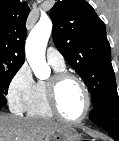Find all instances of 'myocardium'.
I'll return each mask as SVG.
<instances>
[{
  "instance_id": "f54148a6",
  "label": "myocardium",
  "mask_w": 119,
  "mask_h": 141,
  "mask_svg": "<svg viewBox=\"0 0 119 141\" xmlns=\"http://www.w3.org/2000/svg\"><path fill=\"white\" fill-rule=\"evenodd\" d=\"M68 79L75 80L81 86L84 92L85 110L83 114L78 118H68L64 116L59 108L58 99H57L58 89L60 85ZM46 98H47L48 106L51 112L53 113V115L66 122H71V123L82 122L84 119H86V117L89 115L91 111V105H92L91 95L86 83L79 76L68 71L55 72L54 75L46 82Z\"/></svg>"
}]
</instances>
